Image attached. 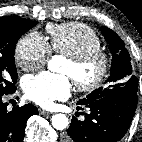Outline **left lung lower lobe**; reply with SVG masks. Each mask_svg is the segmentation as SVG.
I'll return each instance as SVG.
<instances>
[{
	"mask_svg": "<svg viewBox=\"0 0 142 142\" xmlns=\"http://www.w3.org/2000/svg\"><path fill=\"white\" fill-rule=\"evenodd\" d=\"M90 108L84 121L72 118L64 142H116L127 132L137 107V91L128 90L79 104ZM80 108V107H77Z\"/></svg>",
	"mask_w": 142,
	"mask_h": 142,
	"instance_id": "1",
	"label": "left lung lower lobe"
}]
</instances>
